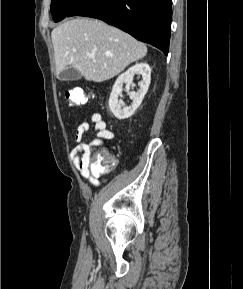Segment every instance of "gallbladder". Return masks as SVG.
I'll use <instances>...</instances> for the list:
<instances>
[{
	"instance_id": "1",
	"label": "gallbladder",
	"mask_w": 243,
	"mask_h": 289,
	"mask_svg": "<svg viewBox=\"0 0 243 289\" xmlns=\"http://www.w3.org/2000/svg\"><path fill=\"white\" fill-rule=\"evenodd\" d=\"M81 77L82 75L80 72L74 68H68L62 71L58 76L60 81H77L80 80Z\"/></svg>"
}]
</instances>
